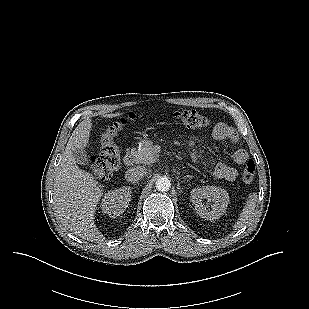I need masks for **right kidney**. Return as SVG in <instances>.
<instances>
[{"label": "right kidney", "instance_id": "ca27d5eb", "mask_svg": "<svg viewBox=\"0 0 309 309\" xmlns=\"http://www.w3.org/2000/svg\"><path fill=\"white\" fill-rule=\"evenodd\" d=\"M131 201L130 187H121L119 189L108 191L102 199V212L112 218L120 216L128 207Z\"/></svg>", "mask_w": 309, "mask_h": 309}]
</instances>
